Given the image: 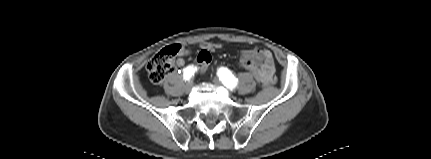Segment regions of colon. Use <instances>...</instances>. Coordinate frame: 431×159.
I'll return each instance as SVG.
<instances>
[{
  "label": "colon",
  "instance_id": "colon-1",
  "mask_svg": "<svg viewBox=\"0 0 431 159\" xmlns=\"http://www.w3.org/2000/svg\"><path fill=\"white\" fill-rule=\"evenodd\" d=\"M181 52L185 56H190L192 54V49L188 47H183L181 49L179 45H171L157 52L149 60L146 66L150 80L155 84L161 83L167 74L173 70L174 59ZM196 63L199 66L198 75L200 78L206 77L209 74V69L207 67L212 63L211 54L207 52H199L196 56ZM238 66L242 67V70L249 69L251 73H253V78L257 84L258 91L260 92L262 89L259 87L261 86L262 80L260 79V75H258V70L243 62H238Z\"/></svg>",
  "mask_w": 431,
  "mask_h": 159
}]
</instances>
